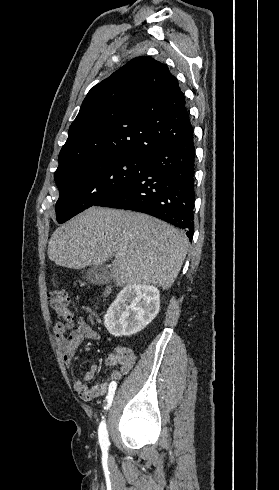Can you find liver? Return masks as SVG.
<instances>
[{"mask_svg": "<svg viewBox=\"0 0 279 490\" xmlns=\"http://www.w3.org/2000/svg\"><path fill=\"white\" fill-rule=\"evenodd\" d=\"M189 240L162 220L110 208H88L53 232L48 258L62 268L103 266L114 256L116 286L155 284L171 288L186 258Z\"/></svg>", "mask_w": 279, "mask_h": 490, "instance_id": "6515ba94", "label": "liver"}]
</instances>
